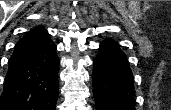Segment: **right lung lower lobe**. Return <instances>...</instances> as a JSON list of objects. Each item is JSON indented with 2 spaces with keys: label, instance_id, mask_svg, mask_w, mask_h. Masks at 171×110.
Returning a JSON list of instances; mask_svg holds the SVG:
<instances>
[{
  "label": "right lung lower lobe",
  "instance_id": "obj_1",
  "mask_svg": "<svg viewBox=\"0 0 171 110\" xmlns=\"http://www.w3.org/2000/svg\"><path fill=\"white\" fill-rule=\"evenodd\" d=\"M59 59L49 34L14 49L0 98L1 110H55Z\"/></svg>",
  "mask_w": 171,
  "mask_h": 110
}]
</instances>
